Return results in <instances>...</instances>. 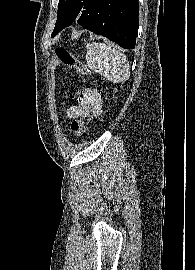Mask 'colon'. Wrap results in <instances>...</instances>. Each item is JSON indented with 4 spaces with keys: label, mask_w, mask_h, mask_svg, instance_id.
I'll return each instance as SVG.
<instances>
[{
    "label": "colon",
    "mask_w": 195,
    "mask_h": 270,
    "mask_svg": "<svg viewBox=\"0 0 195 270\" xmlns=\"http://www.w3.org/2000/svg\"><path fill=\"white\" fill-rule=\"evenodd\" d=\"M55 56L59 63L66 67H74L79 74L84 77H90V71L88 68L77 59L68 49L64 47H57L55 49ZM71 131L78 137H81L85 134L86 124L84 120L76 119L71 123Z\"/></svg>",
    "instance_id": "5ec220e1"
}]
</instances>
